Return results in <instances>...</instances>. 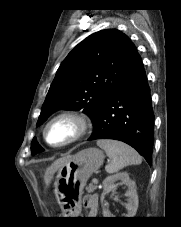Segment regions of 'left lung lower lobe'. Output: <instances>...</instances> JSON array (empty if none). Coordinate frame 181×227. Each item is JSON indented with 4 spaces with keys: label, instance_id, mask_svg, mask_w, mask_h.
I'll list each match as a JSON object with an SVG mask.
<instances>
[{
    "label": "left lung lower lobe",
    "instance_id": "obj_1",
    "mask_svg": "<svg viewBox=\"0 0 181 227\" xmlns=\"http://www.w3.org/2000/svg\"><path fill=\"white\" fill-rule=\"evenodd\" d=\"M115 139L136 149L150 164L154 144V113L141 57L132 66L105 103L88 140Z\"/></svg>",
    "mask_w": 181,
    "mask_h": 227
}]
</instances>
